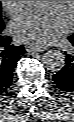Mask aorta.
Segmentation results:
<instances>
[{
    "label": "aorta",
    "mask_w": 74,
    "mask_h": 122,
    "mask_svg": "<svg viewBox=\"0 0 74 122\" xmlns=\"http://www.w3.org/2000/svg\"><path fill=\"white\" fill-rule=\"evenodd\" d=\"M45 1H32L35 7H42ZM43 64L49 71H60L65 66V55L58 50H49L43 55Z\"/></svg>",
    "instance_id": "obj_1"
}]
</instances>
